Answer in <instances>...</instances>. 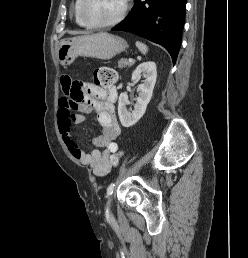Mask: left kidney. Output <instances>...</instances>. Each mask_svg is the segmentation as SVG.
Masks as SVG:
<instances>
[{
  "mask_svg": "<svg viewBox=\"0 0 248 258\" xmlns=\"http://www.w3.org/2000/svg\"><path fill=\"white\" fill-rule=\"evenodd\" d=\"M141 75L144 76L145 80L138 86L137 92H139V96L136 98V104L132 112H128L126 108L128 103L127 93H121L119 96L118 116L122 126L126 128L136 124L146 111L156 83V63L147 61L138 65L132 73L131 80L133 82H138Z\"/></svg>",
  "mask_w": 248,
  "mask_h": 258,
  "instance_id": "1",
  "label": "left kidney"
}]
</instances>
